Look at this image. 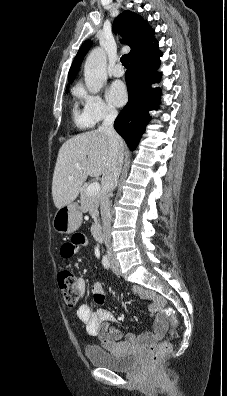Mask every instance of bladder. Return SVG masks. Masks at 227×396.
Listing matches in <instances>:
<instances>
[{
	"mask_svg": "<svg viewBox=\"0 0 227 396\" xmlns=\"http://www.w3.org/2000/svg\"><path fill=\"white\" fill-rule=\"evenodd\" d=\"M85 355L91 365L116 372L129 371L138 362V357L134 354H119L96 345L87 346Z\"/></svg>",
	"mask_w": 227,
	"mask_h": 396,
	"instance_id": "obj_1",
	"label": "bladder"
}]
</instances>
